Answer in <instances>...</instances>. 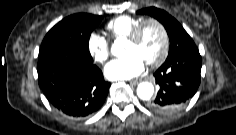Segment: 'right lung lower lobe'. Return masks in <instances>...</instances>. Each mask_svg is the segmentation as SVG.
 Masks as SVG:
<instances>
[{
  "instance_id": "98d812e1",
  "label": "right lung lower lobe",
  "mask_w": 236,
  "mask_h": 135,
  "mask_svg": "<svg viewBox=\"0 0 236 135\" xmlns=\"http://www.w3.org/2000/svg\"><path fill=\"white\" fill-rule=\"evenodd\" d=\"M38 62V82L46 98L61 113L83 118L103 105L110 83L92 58L81 52H67Z\"/></svg>"
}]
</instances>
